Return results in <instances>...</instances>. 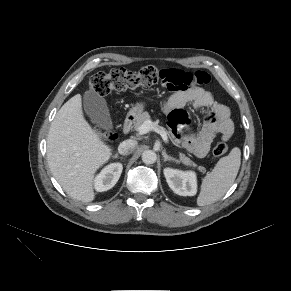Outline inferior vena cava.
Here are the masks:
<instances>
[{"instance_id": "1", "label": "inferior vena cava", "mask_w": 291, "mask_h": 291, "mask_svg": "<svg viewBox=\"0 0 291 291\" xmlns=\"http://www.w3.org/2000/svg\"><path fill=\"white\" fill-rule=\"evenodd\" d=\"M136 146H137V142L135 140L128 139L120 143L118 147V152L121 155H129L134 151Z\"/></svg>"}]
</instances>
